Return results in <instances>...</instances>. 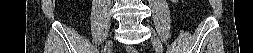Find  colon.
Listing matches in <instances>:
<instances>
[{"instance_id": "colon-1", "label": "colon", "mask_w": 253, "mask_h": 53, "mask_svg": "<svg viewBox=\"0 0 253 53\" xmlns=\"http://www.w3.org/2000/svg\"><path fill=\"white\" fill-rule=\"evenodd\" d=\"M129 52H134V49L131 47V48L129 49Z\"/></svg>"}]
</instances>
